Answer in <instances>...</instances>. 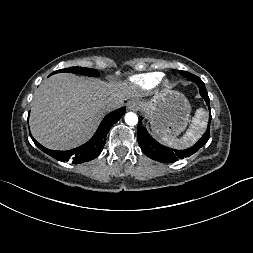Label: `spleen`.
<instances>
[{
	"mask_svg": "<svg viewBox=\"0 0 253 253\" xmlns=\"http://www.w3.org/2000/svg\"><path fill=\"white\" fill-rule=\"evenodd\" d=\"M207 125V112L198 109L186 133L181 138H169L161 136V141L175 149L191 147L204 133Z\"/></svg>",
	"mask_w": 253,
	"mask_h": 253,
	"instance_id": "obj_1",
	"label": "spleen"
}]
</instances>
